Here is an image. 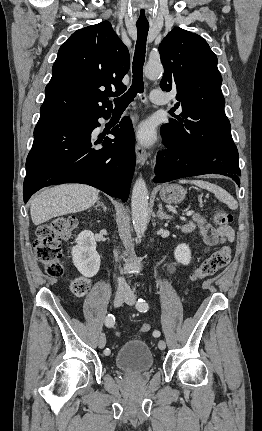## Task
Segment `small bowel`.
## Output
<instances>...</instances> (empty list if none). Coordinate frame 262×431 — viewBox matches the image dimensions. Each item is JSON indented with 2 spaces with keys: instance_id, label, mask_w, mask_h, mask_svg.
<instances>
[{
  "instance_id": "obj_1",
  "label": "small bowel",
  "mask_w": 262,
  "mask_h": 431,
  "mask_svg": "<svg viewBox=\"0 0 262 431\" xmlns=\"http://www.w3.org/2000/svg\"><path fill=\"white\" fill-rule=\"evenodd\" d=\"M197 225L198 232L203 238L207 245V251L211 250L217 245L220 238H226L229 241H233L234 234L230 227L214 228L207 220L201 216H196L195 223H187L184 226L185 231H192ZM169 269L173 270V265L169 264Z\"/></svg>"
}]
</instances>
